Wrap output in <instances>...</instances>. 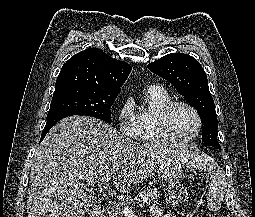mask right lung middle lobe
Returning <instances> with one entry per match:
<instances>
[{
  "label": "right lung middle lobe",
  "instance_id": "dd1d6c3e",
  "mask_svg": "<svg viewBox=\"0 0 255 217\" xmlns=\"http://www.w3.org/2000/svg\"><path fill=\"white\" fill-rule=\"evenodd\" d=\"M119 92L81 86L55 89L47 119L59 114L86 115L111 121V106Z\"/></svg>",
  "mask_w": 255,
  "mask_h": 217
}]
</instances>
